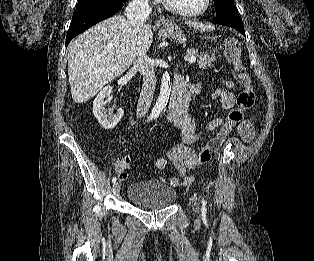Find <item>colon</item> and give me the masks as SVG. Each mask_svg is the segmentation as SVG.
I'll return each instance as SVG.
<instances>
[{
	"mask_svg": "<svg viewBox=\"0 0 314 261\" xmlns=\"http://www.w3.org/2000/svg\"><path fill=\"white\" fill-rule=\"evenodd\" d=\"M225 48L226 59L233 68V76L241 86V90L236 98V107L229 113L227 120L217 134L198 153L195 161L197 165L210 162L233 128L242 120L244 112L252 108L255 103L252 77L241 60L239 42L235 39H227Z\"/></svg>",
	"mask_w": 314,
	"mask_h": 261,
	"instance_id": "colon-1",
	"label": "colon"
}]
</instances>
